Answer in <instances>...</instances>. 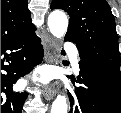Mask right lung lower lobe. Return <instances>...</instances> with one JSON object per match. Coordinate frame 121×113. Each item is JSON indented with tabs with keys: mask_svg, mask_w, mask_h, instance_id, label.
<instances>
[{
	"mask_svg": "<svg viewBox=\"0 0 121 113\" xmlns=\"http://www.w3.org/2000/svg\"><path fill=\"white\" fill-rule=\"evenodd\" d=\"M7 50L12 51L10 54ZM43 58L40 39L32 31L12 42L1 45V113H22L27 93L13 92L12 86L17 79L29 73ZM10 62V65H4Z\"/></svg>",
	"mask_w": 121,
	"mask_h": 113,
	"instance_id": "right-lung-lower-lobe-1",
	"label": "right lung lower lobe"
}]
</instances>
